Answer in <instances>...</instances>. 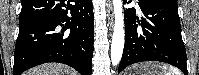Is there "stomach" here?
I'll return each instance as SVG.
<instances>
[{
	"mask_svg": "<svg viewBox=\"0 0 199 75\" xmlns=\"http://www.w3.org/2000/svg\"><path fill=\"white\" fill-rule=\"evenodd\" d=\"M160 69L155 63H141L128 68L124 75H160Z\"/></svg>",
	"mask_w": 199,
	"mask_h": 75,
	"instance_id": "obj_1",
	"label": "stomach"
}]
</instances>
